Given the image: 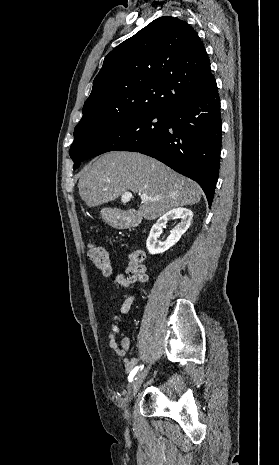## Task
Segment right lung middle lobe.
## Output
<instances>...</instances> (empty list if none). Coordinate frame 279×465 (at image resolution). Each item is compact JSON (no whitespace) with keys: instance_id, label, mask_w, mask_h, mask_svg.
<instances>
[{"instance_id":"1","label":"right lung middle lobe","mask_w":279,"mask_h":465,"mask_svg":"<svg viewBox=\"0 0 279 465\" xmlns=\"http://www.w3.org/2000/svg\"><path fill=\"white\" fill-rule=\"evenodd\" d=\"M166 111L145 110L92 127L75 128L70 156L74 169L82 160L153 141L165 129Z\"/></svg>"}]
</instances>
